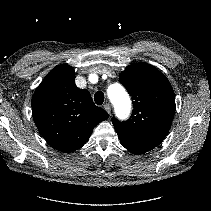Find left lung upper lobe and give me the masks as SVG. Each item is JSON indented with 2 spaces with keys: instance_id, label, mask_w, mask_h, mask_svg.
I'll return each instance as SVG.
<instances>
[{
  "instance_id": "1",
  "label": "left lung upper lobe",
  "mask_w": 211,
  "mask_h": 211,
  "mask_svg": "<svg viewBox=\"0 0 211 211\" xmlns=\"http://www.w3.org/2000/svg\"><path fill=\"white\" fill-rule=\"evenodd\" d=\"M133 101V113L125 122L112 118L124 144L155 148L167 136L175 113V95L168 79L155 67L137 63L119 76Z\"/></svg>"
}]
</instances>
